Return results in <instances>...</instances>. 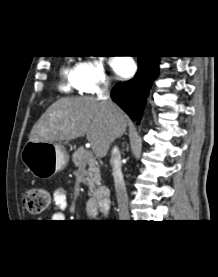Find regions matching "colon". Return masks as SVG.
<instances>
[{"label":"colon","mask_w":218,"mask_h":277,"mask_svg":"<svg viewBox=\"0 0 218 277\" xmlns=\"http://www.w3.org/2000/svg\"><path fill=\"white\" fill-rule=\"evenodd\" d=\"M22 201L30 214H41L50 204V193L45 188H29L24 192Z\"/></svg>","instance_id":"obj_1"}]
</instances>
